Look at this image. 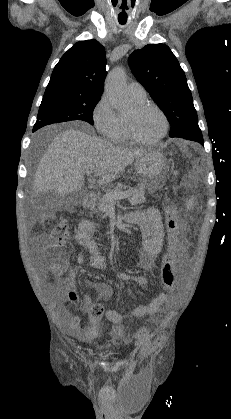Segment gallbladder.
<instances>
[{"mask_svg":"<svg viewBox=\"0 0 231 419\" xmlns=\"http://www.w3.org/2000/svg\"><path fill=\"white\" fill-rule=\"evenodd\" d=\"M64 199V195H60L55 191H49L45 194H42L38 205L45 208L48 214H52L55 208L59 207L63 203Z\"/></svg>","mask_w":231,"mask_h":419,"instance_id":"obj_1","label":"gallbladder"}]
</instances>
